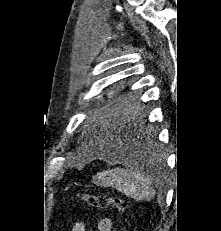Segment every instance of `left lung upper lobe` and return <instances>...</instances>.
<instances>
[{
    "instance_id": "5c2ea615",
    "label": "left lung upper lobe",
    "mask_w": 221,
    "mask_h": 231,
    "mask_svg": "<svg viewBox=\"0 0 221 231\" xmlns=\"http://www.w3.org/2000/svg\"><path fill=\"white\" fill-rule=\"evenodd\" d=\"M123 101L124 97H119L114 100L113 104L116 105V107H120L123 104Z\"/></svg>"
}]
</instances>
